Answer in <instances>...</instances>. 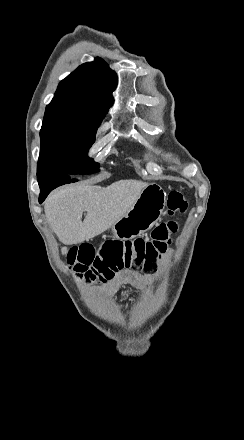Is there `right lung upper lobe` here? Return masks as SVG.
Instances as JSON below:
<instances>
[{"instance_id":"right-lung-upper-lobe-1","label":"right lung upper lobe","mask_w":244,"mask_h":440,"mask_svg":"<svg viewBox=\"0 0 244 440\" xmlns=\"http://www.w3.org/2000/svg\"><path fill=\"white\" fill-rule=\"evenodd\" d=\"M117 75L102 59L84 63L62 80L50 104H70L108 111Z\"/></svg>"}]
</instances>
